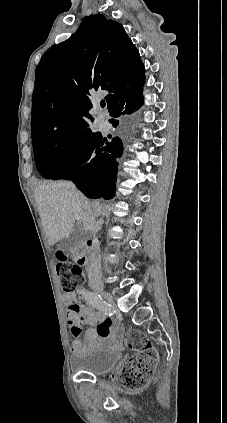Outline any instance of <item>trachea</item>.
I'll return each mask as SVG.
<instances>
[{
    "mask_svg": "<svg viewBox=\"0 0 227 423\" xmlns=\"http://www.w3.org/2000/svg\"><path fill=\"white\" fill-rule=\"evenodd\" d=\"M101 106L105 107V101L104 100L101 101Z\"/></svg>",
    "mask_w": 227,
    "mask_h": 423,
    "instance_id": "trachea-1",
    "label": "trachea"
}]
</instances>
